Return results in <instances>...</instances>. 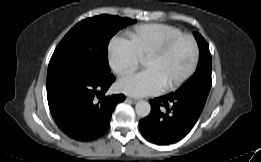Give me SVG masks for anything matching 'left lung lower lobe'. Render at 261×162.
Wrapping results in <instances>:
<instances>
[{
    "mask_svg": "<svg viewBox=\"0 0 261 162\" xmlns=\"http://www.w3.org/2000/svg\"><path fill=\"white\" fill-rule=\"evenodd\" d=\"M209 91L201 86L182 87L150 100L151 112L139 122L142 135L157 145L179 141L197 122Z\"/></svg>",
    "mask_w": 261,
    "mask_h": 162,
    "instance_id": "0a47b994",
    "label": "left lung lower lobe"
}]
</instances>
